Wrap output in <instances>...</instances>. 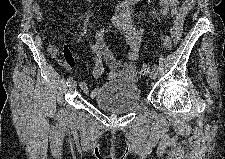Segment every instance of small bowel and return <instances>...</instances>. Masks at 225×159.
<instances>
[{
  "label": "small bowel",
  "instance_id": "small-bowel-1",
  "mask_svg": "<svg viewBox=\"0 0 225 159\" xmlns=\"http://www.w3.org/2000/svg\"><path fill=\"white\" fill-rule=\"evenodd\" d=\"M138 0H127L121 3L113 17L114 28L124 37L129 51L127 53V61H122L113 56L105 42L107 30L105 28L99 30L95 35V40L87 44V48L93 55V68L91 74L94 78H100L104 75V64L109 68L106 75L108 81L121 79L127 81H136L138 78V68L136 61L140 58L142 46V31L134 21L133 7ZM193 7L191 0H186L181 8H178L175 0H162L160 6V14L162 17L172 16L173 23L171 34L175 42H177L182 34L183 22L189 11ZM32 10L35 19L42 24L45 21V16L42 7L38 2L32 3ZM49 55L53 59H59L60 50L56 45L49 44L47 47ZM63 60L59 59L60 63L67 69L75 67V58L70 49L63 46ZM83 92L94 96L95 91H90L85 83L80 85Z\"/></svg>",
  "mask_w": 225,
  "mask_h": 159
}]
</instances>
